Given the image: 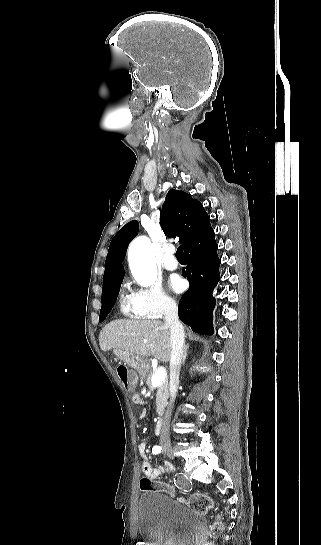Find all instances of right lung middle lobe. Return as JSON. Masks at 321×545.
Returning a JSON list of instances; mask_svg holds the SVG:
<instances>
[{
	"label": "right lung middle lobe",
	"mask_w": 321,
	"mask_h": 545,
	"mask_svg": "<svg viewBox=\"0 0 321 545\" xmlns=\"http://www.w3.org/2000/svg\"><path fill=\"white\" fill-rule=\"evenodd\" d=\"M121 284V283H120ZM120 284L102 290V308L100 310L99 322H102L109 313V302L118 295Z\"/></svg>",
	"instance_id": "right-lung-middle-lobe-1"
}]
</instances>
